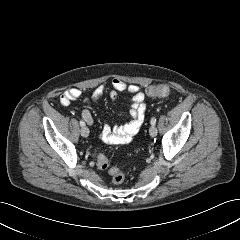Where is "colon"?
Segmentation results:
<instances>
[{
  "instance_id": "1",
  "label": "colon",
  "mask_w": 240,
  "mask_h": 240,
  "mask_svg": "<svg viewBox=\"0 0 240 240\" xmlns=\"http://www.w3.org/2000/svg\"><path fill=\"white\" fill-rule=\"evenodd\" d=\"M147 94L150 97H156V98H165L168 97L170 94V88L167 85L159 84L151 86L147 89ZM97 166L100 169H108L109 168V161L108 158L104 154H100L97 158ZM109 172L112 177V183L114 185H120L125 180V175L123 172L118 170L117 168H110Z\"/></svg>"
}]
</instances>
